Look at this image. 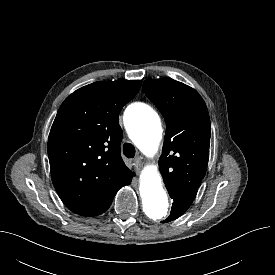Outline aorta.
<instances>
[{
    "mask_svg": "<svg viewBox=\"0 0 275 275\" xmlns=\"http://www.w3.org/2000/svg\"><path fill=\"white\" fill-rule=\"evenodd\" d=\"M125 125L130 138L142 153L146 156L156 153L162 137V123L156 111L143 103L132 104L125 111ZM139 192L143 211L150 220L161 221L168 216V196L157 167L144 169Z\"/></svg>",
    "mask_w": 275,
    "mask_h": 275,
    "instance_id": "762f6f07",
    "label": "aorta"
}]
</instances>
